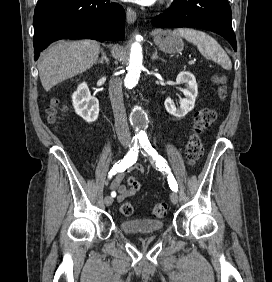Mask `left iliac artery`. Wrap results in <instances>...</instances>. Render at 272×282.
<instances>
[{
	"label": "left iliac artery",
	"instance_id": "left-iliac-artery-1",
	"mask_svg": "<svg viewBox=\"0 0 272 282\" xmlns=\"http://www.w3.org/2000/svg\"><path fill=\"white\" fill-rule=\"evenodd\" d=\"M139 142H140L142 149L153 158V161L155 162L156 167H158L159 170L165 171L166 173H168L169 186L172 189V191L177 192L178 191L177 182L173 174L170 172V168L167 162L165 161V159L158 155L156 150L151 146L148 138L141 139Z\"/></svg>",
	"mask_w": 272,
	"mask_h": 282
}]
</instances>
